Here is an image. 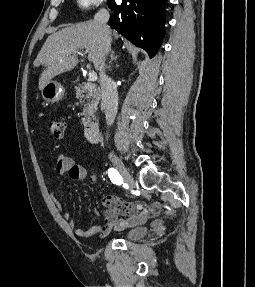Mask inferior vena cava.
I'll return each mask as SVG.
<instances>
[{"label":"inferior vena cava","instance_id":"obj_1","mask_svg":"<svg viewBox=\"0 0 255 287\" xmlns=\"http://www.w3.org/2000/svg\"><path fill=\"white\" fill-rule=\"evenodd\" d=\"M109 20V12L107 10H99L98 14L94 16L95 24H98L102 28L104 34V58L99 68L100 74V88L102 94V108L105 112V118L108 126L113 124L117 110H118V94L115 82L106 76V56L110 52V30L107 28V22Z\"/></svg>","mask_w":255,"mask_h":287}]
</instances>
